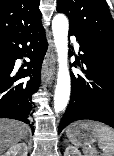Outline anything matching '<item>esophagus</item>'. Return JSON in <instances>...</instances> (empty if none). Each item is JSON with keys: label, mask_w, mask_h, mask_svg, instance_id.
<instances>
[{"label": "esophagus", "mask_w": 114, "mask_h": 156, "mask_svg": "<svg viewBox=\"0 0 114 156\" xmlns=\"http://www.w3.org/2000/svg\"><path fill=\"white\" fill-rule=\"evenodd\" d=\"M56 53L54 46L51 45L48 49L43 65H42V81L45 85H51L55 75Z\"/></svg>", "instance_id": "esophagus-1"}]
</instances>
